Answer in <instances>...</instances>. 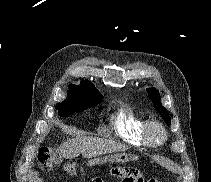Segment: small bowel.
Returning a JSON list of instances; mask_svg holds the SVG:
<instances>
[{
    "label": "small bowel",
    "instance_id": "c3829d8e",
    "mask_svg": "<svg viewBox=\"0 0 211 182\" xmlns=\"http://www.w3.org/2000/svg\"><path fill=\"white\" fill-rule=\"evenodd\" d=\"M122 182H132L130 179L122 180Z\"/></svg>",
    "mask_w": 211,
    "mask_h": 182
}]
</instances>
